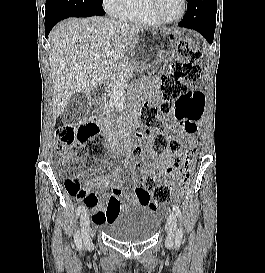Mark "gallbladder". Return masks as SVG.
<instances>
[{
	"mask_svg": "<svg viewBox=\"0 0 265 273\" xmlns=\"http://www.w3.org/2000/svg\"><path fill=\"white\" fill-rule=\"evenodd\" d=\"M88 102V95L83 93L74 94L67 102L61 115L62 121L69 124L78 122L85 115Z\"/></svg>",
	"mask_w": 265,
	"mask_h": 273,
	"instance_id": "obj_1",
	"label": "gallbladder"
}]
</instances>
